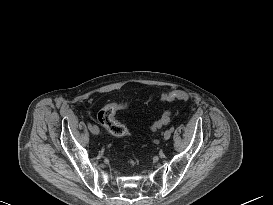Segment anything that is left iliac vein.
<instances>
[{
  "mask_svg": "<svg viewBox=\"0 0 273 205\" xmlns=\"http://www.w3.org/2000/svg\"><path fill=\"white\" fill-rule=\"evenodd\" d=\"M171 137V131L170 130H166L164 132V139L168 140Z\"/></svg>",
  "mask_w": 273,
  "mask_h": 205,
  "instance_id": "1",
  "label": "left iliac vein"
}]
</instances>
